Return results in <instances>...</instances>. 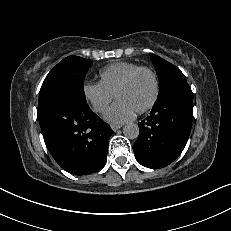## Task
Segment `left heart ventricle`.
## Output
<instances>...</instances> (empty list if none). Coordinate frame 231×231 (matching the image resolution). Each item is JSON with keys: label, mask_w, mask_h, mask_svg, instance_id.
Masks as SVG:
<instances>
[{"label": "left heart ventricle", "mask_w": 231, "mask_h": 231, "mask_svg": "<svg viewBox=\"0 0 231 231\" xmlns=\"http://www.w3.org/2000/svg\"><path fill=\"white\" fill-rule=\"evenodd\" d=\"M154 83L152 77L146 73H140L135 80L118 94L121 99L132 106L136 111L149 102L153 95Z\"/></svg>", "instance_id": "obj_1"}]
</instances>
